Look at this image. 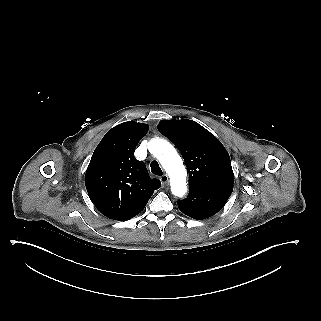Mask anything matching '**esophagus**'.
<instances>
[{
  "instance_id": "obj_1",
  "label": "esophagus",
  "mask_w": 321,
  "mask_h": 321,
  "mask_svg": "<svg viewBox=\"0 0 321 321\" xmlns=\"http://www.w3.org/2000/svg\"><path fill=\"white\" fill-rule=\"evenodd\" d=\"M160 181H161L163 187H167L168 184H169V177H168V175H167V174L162 175V176L160 177Z\"/></svg>"
}]
</instances>
